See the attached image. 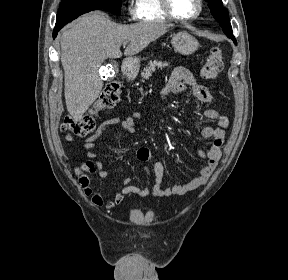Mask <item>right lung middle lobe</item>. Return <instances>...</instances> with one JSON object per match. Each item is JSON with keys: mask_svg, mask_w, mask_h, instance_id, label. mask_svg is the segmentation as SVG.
<instances>
[{"mask_svg": "<svg viewBox=\"0 0 288 280\" xmlns=\"http://www.w3.org/2000/svg\"><path fill=\"white\" fill-rule=\"evenodd\" d=\"M122 0H62L57 12V19L74 11L98 7L106 9L115 15H120Z\"/></svg>", "mask_w": 288, "mask_h": 280, "instance_id": "right-lung-middle-lobe-1", "label": "right lung middle lobe"}]
</instances>
